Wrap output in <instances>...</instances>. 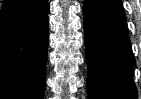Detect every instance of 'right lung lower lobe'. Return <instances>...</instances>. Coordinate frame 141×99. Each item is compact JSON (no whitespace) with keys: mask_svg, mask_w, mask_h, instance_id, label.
Segmentation results:
<instances>
[{"mask_svg":"<svg viewBox=\"0 0 141 99\" xmlns=\"http://www.w3.org/2000/svg\"><path fill=\"white\" fill-rule=\"evenodd\" d=\"M46 0H5L0 13V99H42L48 46Z\"/></svg>","mask_w":141,"mask_h":99,"instance_id":"98d812e1","label":"right lung lower lobe"}]
</instances>
